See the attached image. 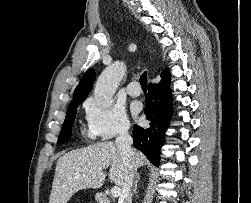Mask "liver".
Listing matches in <instances>:
<instances>
[{"label":"liver","instance_id":"6515ba94","mask_svg":"<svg viewBox=\"0 0 251 203\" xmlns=\"http://www.w3.org/2000/svg\"><path fill=\"white\" fill-rule=\"evenodd\" d=\"M134 163L138 168L148 161L143 153L136 151ZM109 166L111 183L122 187L126 167L116 143L101 142L64 154L56 164L49 203H67L79 190L100 188L106 177L103 170Z\"/></svg>","mask_w":251,"mask_h":203}]
</instances>
